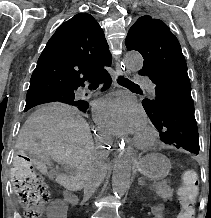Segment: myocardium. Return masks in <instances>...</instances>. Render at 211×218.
Wrapping results in <instances>:
<instances>
[{
	"label": "myocardium",
	"instance_id": "1",
	"mask_svg": "<svg viewBox=\"0 0 211 218\" xmlns=\"http://www.w3.org/2000/svg\"><path fill=\"white\" fill-rule=\"evenodd\" d=\"M157 134L152 127L146 126L132 140V145L139 150L148 151L156 143Z\"/></svg>",
	"mask_w": 211,
	"mask_h": 218
}]
</instances>
